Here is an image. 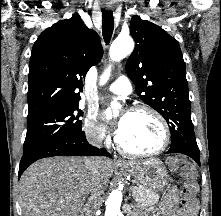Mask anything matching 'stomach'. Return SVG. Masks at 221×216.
<instances>
[{
  "instance_id": "obj_1",
  "label": "stomach",
  "mask_w": 221,
  "mask_h": 216,
  "mask_svg": "<svg viewBox=\"0 0 221 216\" xmlns=\"http://www.w3.org/2000/svg\"><path fill=\"white\" fill-rule=\"evenodd\" d=\"M123 172L132 175L145 188L154 191H162L169 179L165 166L158 159L130 163Z\"/></svg>"
}]
</instances>
